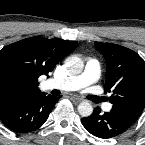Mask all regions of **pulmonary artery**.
<instances>
[{"label":"pulmonary artery","instance_id":"pulmonary-artery-1","mask_svg":"<svg viewBox=\"0 0 145 145\" xmlns=\"http://www.w3.org/2000/svg\"><path fill=\"white\" fill-rule=\"evenodd\" d=\"M100 78V64L98 60L89 58L86 62L84 71L77 76H69L64 78H51L45 81L44 85L49 89H60L73 91L96 83ZM112 105L105 103L103 109L110 111Z\"/></svg>","mask_w":145,"mask_h":145}]
</instances>
